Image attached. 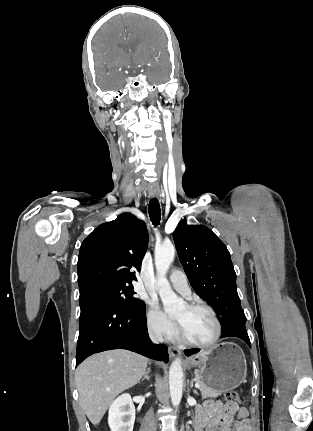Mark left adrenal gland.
<instances>
[{"label": "left adrenal gland", "instance_id": "left-adrenal-gland-1", "mask_svg": "<svg viewBox=\"0 0 313 431\" xmlns=\"http://www.w3.org/2000/svg\"><path fill=\"white\" fill-rule=\"evenodd\" d=\"M190 387L192 388L193 387V381L191 380V382H190ZM193 393L194 394H196V395H198V392L196 391V390H193Z\"/></svg>", "mask_w": 313, "mask_h": 431}]
</instances>
